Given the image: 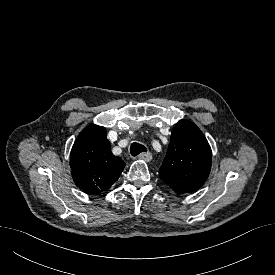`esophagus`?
Returning a JSON list of instances; mask_svg holds the SVG:
<instances>
[{
	"mask_svg": "<svg viewBox=\"0 0 275 275\" xmlns=\"http://www.w3.org/2000/svg\"><path fill=\"white\" fill-rule=\"evenodd\" d=\"M138 159L149 162L152 160V154L150 152H143L138 155Z\"/></svg>",
	"mask_w": 275,
	"mask_h": 275,
	"instance_id": "34e87169",
	"label": "esophagus"
}]
</instances>
